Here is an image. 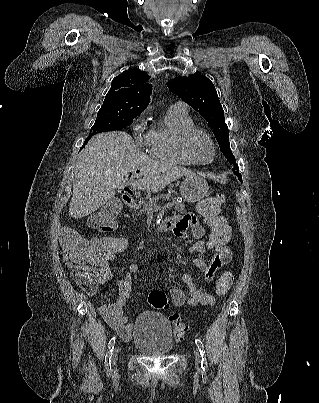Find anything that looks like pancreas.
<instances>
[{
    "label": "pancreas",
    "mask_w": 319,
    "mask_h": 403,
    "mask_svg": "<svg viewBox=\"0 0 319 403\" xmlns=\"http://www.w3.org/2000/svg\"><path fill=\"white\" fill-rule=\"evenodd\" d=\"M165 198L168 199L169 196H168V195H165V194H161V195H157V196L151 198V199L148 200V201L143 202L142 209L140 210V212H141V213H145V214H146V213H149V212H153V211H154V206H157V202H158L160 199H165ZM172 203H173L174 209H175L176 211H178V212H185V206H184L183 203L178 202L176 199H173V200H172Z\"/></svg>",
    "instance_id": "pancreas-1"
}]
</instances>
